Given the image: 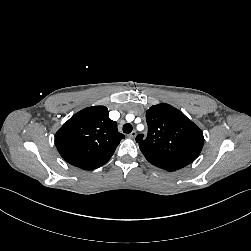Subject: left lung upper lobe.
I'll use <instances>...</instances> for the list:
<instances>
[{
  "instance_id": "1",
  "label": "left lung upper lobe",
  "mask_w": 251,
  "mask_h": 251,
  "mask_svg": "<svg viewBox=\"0 0 251 251\" xmlns=\"http://www.w3.org/2000/svg\"><path fill=\"white\" fill-rule=\"evenodd\" d=\"M148 134L136 137L148 162L166 171L192 163L200 154L204 137L199 127L169 104L150 107L146 113Z\"/></svg>"
}]
</instances>
